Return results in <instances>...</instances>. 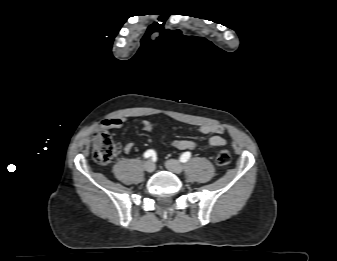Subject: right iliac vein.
Wrapping results in <instances>:
<instances>
[{"label": "right iliac vein", "mask_w": 337, "mask_h": 261, "mask_svg": "<svg viewBox=\"0 0 337 261\" xmlns=\"http://www.w3.org/2000/svg\"><path fill=\"white\" fill-rule=\"evenodd\" d=\"M144 168L147 172L152 173L155 170V165L151 160H149L144 164Z\"/></svg>", "instance_id": "63e3f726"}]
</instances>
